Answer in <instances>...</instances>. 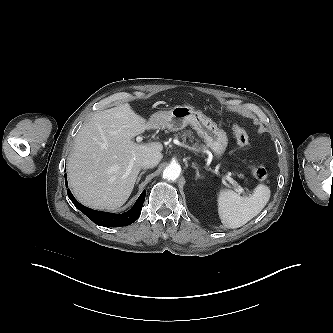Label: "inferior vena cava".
Segmentation results:
<instances>
[{
  "label": "inferior vena cava",
  "mask_w": 333,
  "mask_h": 333,
  "mask_svg": "<svg viewBox=\"0 0 333 333\" xmlns=\"http://www.w3.org/2000/svg\"><path fill=\"white\" fill-rule=\"evenodd\" d=\"M161 159H162L161 153L149 154L142 158L140 165L144 169L153 168L158 165Z\"/></svg>",
  "instance_id": "602c4592"
}]
</instances>
